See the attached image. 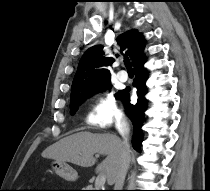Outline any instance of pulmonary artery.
<instances>
[{"label": "pulmonary artery", "mask_w": 210, "mask_h": 191, "mask_svg": "<svg viewBox=\"0 0 210 191\" xmlns=\"http://www.w3.org/2000/svg\"><path fill=\"white\" fill-rule=\"evenodd\" d=\"M118 79L121 82H126L128 80V74L125 71H119L118 72Z\"/></svg>", "instance_id": "pulmonary-artery-1"}]
</instances>
